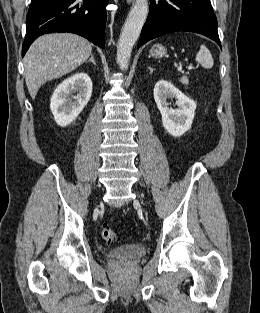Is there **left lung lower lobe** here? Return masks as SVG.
I'll return each instance as SVG.
<instances>
[{"label": "left lung lower lobe", "mask_w": 260, "mask_h": 313, "mask_svg": "<svg viewBox=\"0 0 260 313\" xmlns=\"http://www.w3.org/2000/svg\"><path fill=\"white\" fill-rule=\"evenodd\" d=\"M175 31L205 35L220 47L217 19L210 0H150V11L138 47L151 39Z\"/></svg>", "instance_id": "0a47b994"}]
</instances>
